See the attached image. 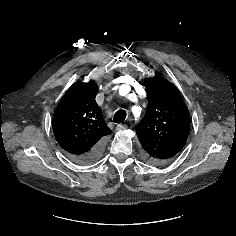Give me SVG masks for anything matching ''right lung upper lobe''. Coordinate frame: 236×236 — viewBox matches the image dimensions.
Wrapping results in <instances>:
<instances>
[{"mask_svg": "<svg viewBox=\"0 0 236 236\" xmlns=\"http://www.w3.org/2000/svg\"><path fill=\"white\" fill-rule=\"evenodd\" d=\"M97 90L94 82L74 83L54 111V136L58 144L71 155L90 151L112 133L95 101Z\"/></svg>", "mask_w": 236, "mask_h": 236, "instance_id": "right-lung-upper-lobe-1", "label": "right lung upper lobe"}]
</instances>
